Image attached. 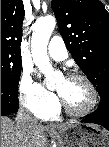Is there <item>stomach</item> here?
Segmentation results:
<instances>
[{"mask_svg": "<svg viewBox=\"0 0 109 147\" xmlns=\"http://www.w3.org/2000/svg\"><path fill=\"white\" fill-rule=\"evenodd\" d=\"M50 135L60 147H109V133L94 124H69Z\"/></svg>", "mask_w": 109, "mask_h": 147, "instance_id": "0dacf381", "label": "stomach"}]
</instances>
